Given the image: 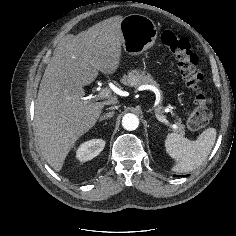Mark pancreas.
<instances>
[{
	"instance_id": "cf45deb5",
	"label": "pancreas",
	"mask_w": 236,
	"mask_h": 236,
	"mask_svg": "<svg viewBox=\"0 0 236 236\" xmlns=\"http://www.w3.org/2000/svg\"><path fill=\"white\" fill-rule=\"evenodd\" d=\"M121 82L126 86L139 87L142 85H152L158 87L159 85L153 80L150 74H145V72H140L138 70H132L128 75L123 76ZM161 107L156 109L157 112H161ZM177 133H184V126L181 123H177V127L173 129Z\"/></svg>"
}]
</instances>
